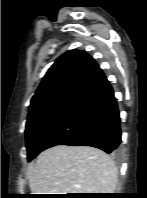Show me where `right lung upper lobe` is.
I'll return each instance as SVG.
<instances>
[{"instance_id": "1", "label": "right lung upper lobe", "mask_w": 147, "mask_h": 198, "mask_svg": "<svg viewBox=\"0 0 147 198\" xmlns=\"http://www.w3.org/2000/svg\"><path fill=\"white\" fill-rule=\"evenodd\" d=\"M106 79L86 52L70 50L48 70L31 99L29 112L53 103H76Z\"/></svg>"}]
</instances>
